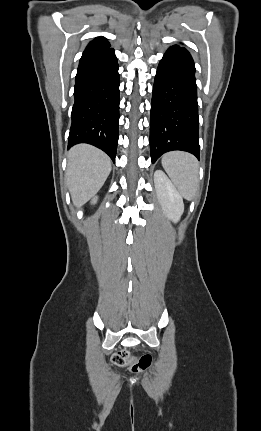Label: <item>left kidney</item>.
<instances>
[{
    "label": "left kidney",
    "mask_w": 261,
    "mask_h": 431,
    "mask_svg": "<svg viewBox=\"0 0 261 431\" xmlns=\"http://www.w3.org/2000/svg\"><path fill=\"white\" fill-rule=\"evenodd\" d=\"M154 183L157 198L164 214L169 220L176 223L184 212L183 199L177 192L168 177L160 170L154 174Z\"/></svg>",
    "instance_id": "1"
}]
</instances>
